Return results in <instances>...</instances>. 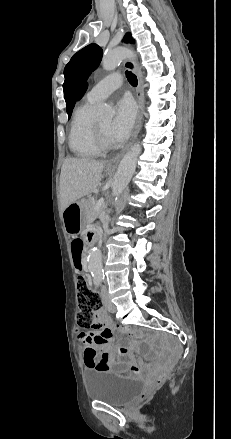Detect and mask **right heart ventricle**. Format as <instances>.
I'll return each mask as SVG.
<instances>
[{
	"instance_id": "1",
	"label": "right heart ventricle",
	"mask_w": 231,
	"mask_h": 439,
	"mask_svg": "<svg viewBox=\"0 0 231 439\" xmlns=\"http://www.w3.org/2000/svg\"><path fill=\"white\" fill-rule=\"evenodd\" d=\"M96 102L87 99L81 103L72 116L68 145L71 152L79 158L90 159L100 153L95 141V120L92 109Z\"/></svg>"
}]
</instances>
